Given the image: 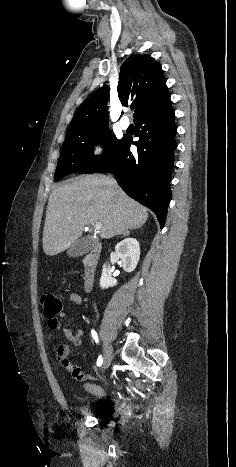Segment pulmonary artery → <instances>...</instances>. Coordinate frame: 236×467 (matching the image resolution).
<instances>
[{"label": "pulmonary artery", "mask_w": 236, "mask_h": 467, "mask_svg": "<svg viewBox=\"0 0 236 467\" xmlns=\"http://www.w3.org/2000/svg\"><path fill=\"white\" fill-rule=\"evenodd\" d=\"M120 126L122 129H127L130 125V121L127 117H123L121 118L120 122H119Z\"/></svg>", "instance_id": "1"}]
</instances>
